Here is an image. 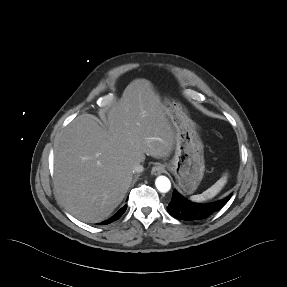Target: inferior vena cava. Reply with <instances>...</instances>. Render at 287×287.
Instances as JSON below:
<instances>
[{
    "instance_id": "602c4592",
    "label": "inferior vena cava",
    "mask_w": 287,
    "mask_h": 287,
    "mask_svg": "<svg viewBox=\"0 0 287 287\" xmlns=\"http://www.w3.org/2000/svg\"><path fill=\"white\" fill-rule=\"evenodd\" d=\"M144 170L143 165H141L140 163H135L132 166V172L133 173H140Z\"/></svg>"
}]
</instances>
